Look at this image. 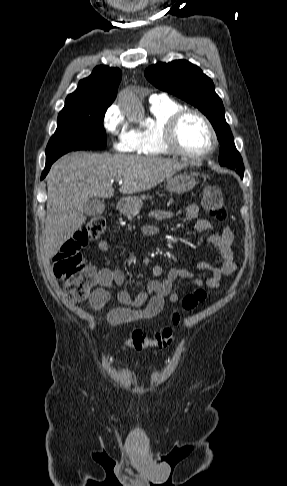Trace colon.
Masks as SVG:
<instances>
[{
  "mask_svg": "<svg viewBox=\"0 0 287 486\" xmlns=\"http://www.w3.org/2000/svg\"><path fill=\"white\" fill-rule=\"evenodd\" d=\"M202 203L207 212L216 220L227 218L222 190L216 185H207L203 192ZM106 229V220L102 216L92 217L67 240L53 258V272L62 281L67 296L74 302H83L90 296L96 283L97 273L94 267L87 264L82 257L81 249L91 241L99 238ZM207 293L203 289L186 295L182 300L180 311L172 315V325L149 335L145 331L135 330L124 341L123 346L134 350L147 348H166L174 339L175 328L181 320L182 311H191L205 301Z\"/></svg>",
  "mask_w": 287,
  "mask_h": 486,
  "instance_id": "5ec220e1",
  "label": "colon"
}]
</instances>
